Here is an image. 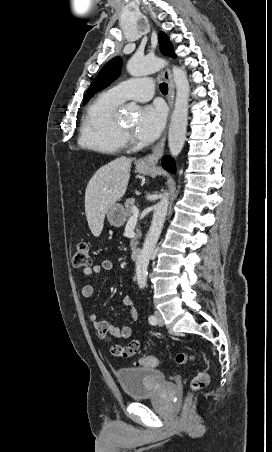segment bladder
Instances as JSON below:
<instances>
[{
	"instance_id": "bladder-1",
	"label": "bladder",
	"mask_w": 272,
	"mask_h": 452,
	"mask_svg": "<svg viewBox=\"0 0 272 452\" xmlns=\"http://www.w3.org/2000/svg\"><path fill=\"white\" fill-rule=\"evenodd\" d=\"M116 376L120 387L130 399L151 396L167 384L165 374L154 368H121L117 370Z\"/></svg>"
}]
</instances>
